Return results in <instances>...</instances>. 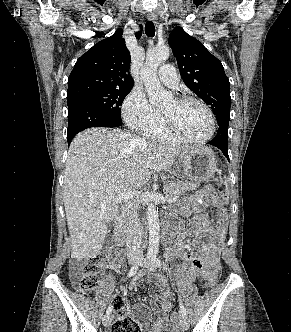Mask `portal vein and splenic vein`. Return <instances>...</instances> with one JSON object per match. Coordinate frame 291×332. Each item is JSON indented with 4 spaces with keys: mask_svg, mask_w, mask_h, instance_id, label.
I'll use <instances>...</instances> for the list:
<instances>
[{
    "mask_svg": "<svg viewBox=\"0 0 291 332\" xmlns=\"http://www.w3.org/2000/svg\"><path fill=\"white\" fill-rule=\"evenodd\" d=\"M136 192H123L120 194L117 198L114 199L115 202H121V201H127L130 198H133L136 196ZM177 197L169 198L168 202H173L176 201Z\"/></svg>",
    "mask_w": 291,
    "mask_h": 332,
    "instance_id": "18ae733b",
    "label": "portal vein and splenic vein"
}]
</instances>
